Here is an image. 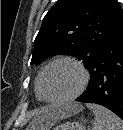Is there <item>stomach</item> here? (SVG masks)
Instances as JSON below:
<instances>
[{
  "mask_svg": "<svg viewBox=\"0 0 123 130\" xmlns=\"http://www.w3.org/2000/svg\"><path fill=\"white\" fill-rule=\"evenodd\" d=\"M54 130H86V127L83 122H65L56 126Z\"/></svg>",
  "mask_w": 123,
  "mask_h": 130,
  "instance_id": "stomach-1",
  "label": "stomach"
}]
</instances>
